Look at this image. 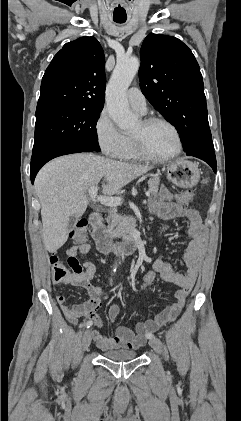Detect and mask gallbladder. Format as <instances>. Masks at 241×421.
I'll list each match as a JSON object with an SVG mask.
<instances>
[{
	"mask_svg": "<svg viewBox=\"0 0 241 421\" xmlns=\"http://www.w3.org/2000/svg\"><path fill=\"white\" fill-rule=\"evenodd\" d=\"M77 220H78V217L76 215H73L69 218L68 224H67V231L68 232H70L72 229H74Z\"/></svg>",
	"mask_w": 241,
	"mask_h": 421,
	"instance_id": "1",
	"label": "gallbladder"
}]
</instances>
